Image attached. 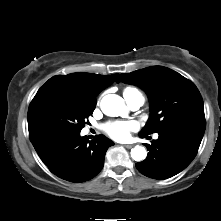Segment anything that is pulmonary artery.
Masks as SVG:
<instances>
[{
  "mask_svg": "<svg viewBox=\"0 0 221 221\" xmlns=\"http://www.w3.org/2000/svg\"><path fill=\"white\" fill-rule=\"evenodd\" d=\"M125 100H126L128 106L132 110L139 109L144 103V98L140 94H136V95H133V96H130V97H125Z\"/></svg>",
  "mask_w": 221,
  "mask_h": 221,
  "instance_id": "pulmonary-artery-1",
  "label": "pulmonary artery"
}]
</instances>
